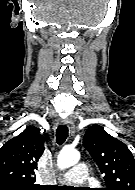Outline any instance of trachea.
Returning a JSON list of instances; mask_svg holds the SVG:
<instances>
[{
  "label": "trachea",
  "instance_id": "obj_1",
  "mask_svg": "<svg viewBox=\"0 0 135 190\" xmlns=\"http://www.w3.org/2000/svg\"><path fill=\"white\" fill-rule=\"evenodd\" d=\"M68 137V127L61 125L56 130V141L58 145H62Z\"/></svg>",
  "mask_w": 135,
  "mask_h": 190
}]
</instances>
